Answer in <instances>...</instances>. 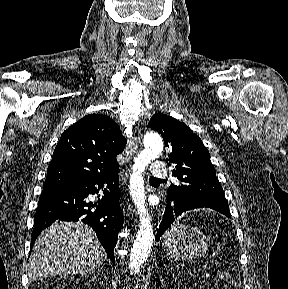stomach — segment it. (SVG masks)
<instances>
[{
	"mask_svg": "<svg viewBox=\"0 0 288 289\" xmlns=\"http://www.w3.org/2000/svg\"><path fill=\"white\" fill-rule=\"evenodd\" d=\"M164 238L162 244L164 252L176 260L198 258L208 249L206 236L194 227L176 226V230Z\"/></svg>",
	"mask_w": 288,
	"mask_h": 289,
	"instance_id": "0dacf381",
	"label": "stomach"
}]
</instances>
